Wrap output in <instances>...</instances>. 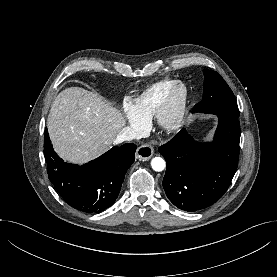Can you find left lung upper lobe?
I'll return each instance as SVG.
<instances>
[{"label":"left lung upper lobe","mask_w":277,"mask_h":277,"mask_svg":"<svg viewBox=\"0 0 277 277\" xmlns=\"http://www.w3.org/2000/svg\"><path fill=\"white\" fill-rule=\"evenodd\" d=\"M204 93L203 99L196 104L193 112L224 114L234 118L239 117V109L233 92L224 79L215 71L203 70Z\"/></svg>","instance_id":"1"}]
</instances>
